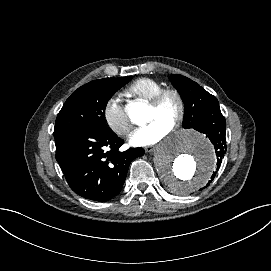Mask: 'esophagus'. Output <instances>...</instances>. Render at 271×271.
I'll return each mask as SVG.
<instances>
[{"instance_id": "34e87169", "label": "esophagus", "mask_w": 271, "mask_h": 271, "mask_svg": "<svg viewBox=\"0 0 271 271\" xmlns=\"http://www.w3.org/2000/svg\"><path fill=\"white\" fill-rule=\"evenodd\" d=\"M156 146L155 145H148L144 147L145 152L150 153L155 150Z\"/></svg>"}]
</instances>
